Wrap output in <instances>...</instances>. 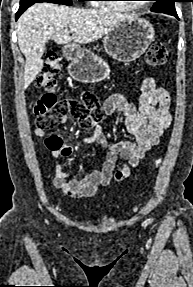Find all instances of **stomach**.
I'll list each match as a JSON object with an SVG mask.
<instances>
[{
  "label": "stomach",
  "mask_w": 193,
  "mask_h": 287,
  "mask_svg": "<svg viewBox=\"0 0 193 287\" xmlns=\"http://www.w3.org/2000/svg\"><path fill=\"white\" fill-rule=\"evenodd\" d=\"M155 40L152 24L137 17L127 19L107 33L103 38L105 52L119 62L130 63L138 59ZM70 61L71 77L81 83H94L108 77V64L89 49L77 45L63 48Z\"/></svg>",
  "instance_id": "stomach-1"
}]
</instances>
